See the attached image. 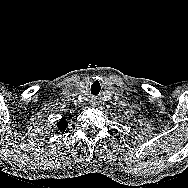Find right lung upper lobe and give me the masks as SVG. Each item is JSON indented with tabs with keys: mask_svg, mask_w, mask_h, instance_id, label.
Returning a JSON list of instances; mask_svg holds the SVG:
<instances>
[{
	"mask_svg": "<svg viewBox=\"0 0 188 188\" xmlns=\"http://www.w3.org/2000/svg\"><path fill=\"white\" fill-rule=\"evenodd\" d=\"M67 125H68V122L65 120V119H60L59 121H58V123H57V130H55L56 132L57 131H64L65 129H66V127H67Z\"/></svg>",
	"mask_w": 188,
	"mask_h": 188,
	"instance_id": "right-lung-upper-lobe-1",
	"label": "right lung upper lobe"
}]
</instances>
